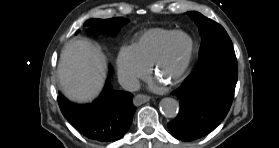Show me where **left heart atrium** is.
Listing matches in <instances>:
<instances>
[{
    "label": "left heart atrium",
    "mask_w": 279,
    "mask_h": 148,
    "mask_svg": "<svg viewBox=\"0 0 279 148\" xmlns=\"http://www.w3.org/2000/svg\"><path fill=\"white\" fill-rule=\"evenodd\" d=\"M162 84L161 83H154L153 84V89H161L162 88Z\"/></svg>",
    "instance_id": "left-heart-atrium-1"
}]
</instances>
